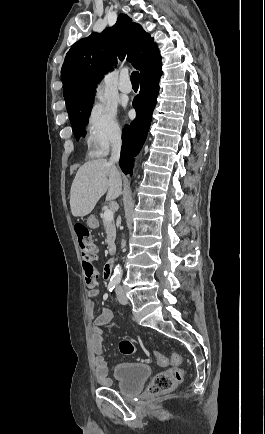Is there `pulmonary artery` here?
Here are the masks:
<instances>
[{"instance_id": "pulmonary-artery-1", "label": "pulmonary artery", "mask_w": 265, "mask_h": 434, "mask_svg": "<svg viewBox=\"0 0 265 434\" xmlns=\"http://www.w3.org/2000/svg\"><path fill=\"white\" fill-rule=\"evenodd\" d=\"M128 79H129V74L127 72H125L121 77L122 81H119V84H118L119 90L125 94L130 93L134 87L133 81H123V80H128Z\"/></svg>"}]
</instances>
